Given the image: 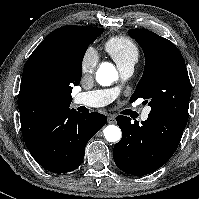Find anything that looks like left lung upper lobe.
Returning <instances> with one entry per match:
<instances>
[{"label":"left lung upper lobe","mask_w":199,"mask_h":199,"mask_svg":"<svg viewBox=\"0 0 199 199\" xmlns=\"http://www.w3.org/2000/svg\"><path fill=\"white\" fill-rule=\"evenodd\" d=\"M130 37L142 47L144 73L130 98H143L150 112H162L188 120L191 84L179 49L169 40L146 29H130Z\"/></svg>","instance_id":"obj_1"}]
</instances>
